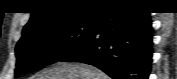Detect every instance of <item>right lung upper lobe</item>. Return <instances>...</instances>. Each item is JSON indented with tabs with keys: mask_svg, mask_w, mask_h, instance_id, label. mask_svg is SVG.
Here are the masks:
<instances>
[{
	"mask_svg": "<svg viewBox=\"0 0 177 79\" xmlns=\"http://www.w3.org/2000/svg\"><path fill=\"white\" fill-rule=\"evenodd\" d=\"M129 0H39L23 28V36L36 29L81 19H96L105 9Z\"/></svg>",
	"mask_w": 177,
	"mask_h": 79,
	"instance_id": "obj_1",
	"label": "right lung upper lobe"
}]
</instances>
